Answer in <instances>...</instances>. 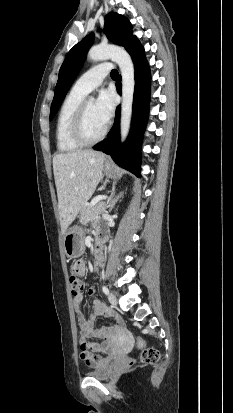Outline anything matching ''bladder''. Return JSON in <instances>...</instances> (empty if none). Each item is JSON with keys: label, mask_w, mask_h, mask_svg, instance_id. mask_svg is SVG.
Instances as JSON below:
<instances>
[{"label": "bladder", "mask_w": 233, "mask_h": 413, "mask_svg": "<svg viewBox=\"0 0 233 413\" xmlns=\"http://www.w3.org/2000/svg\"><path fill=\"white\" fill-rule=\"evenodd\" d=\"M114 367L107 365L103 368H98L86 373L88 377L99 379V380H108L114 375Z\"/></svg>", "instance_id": "obj_1"}]
</instances>
